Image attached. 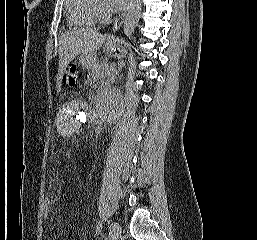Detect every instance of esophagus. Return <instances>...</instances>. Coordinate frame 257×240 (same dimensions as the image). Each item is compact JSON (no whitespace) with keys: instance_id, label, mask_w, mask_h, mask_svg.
<instances>
[{"instance_id":"obj_1","label":"esophagus","mask_w":257,"mask_h":240,"mask_svg":"<svg viewBox=\"0 0 257 240\" xmlns=\"http://www.w3.org/2000/svg\"><path fill=\"white\" fill-rule=\"evenodd\" d=\"M125 14H126V13L121 14V15L116 19L115 24H114V27H113V31H114V32L117 31V30L120 28V26L122 25L123 20H124V17H125Z\"/></svg>"}]
</instances>
